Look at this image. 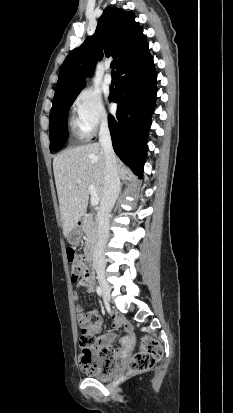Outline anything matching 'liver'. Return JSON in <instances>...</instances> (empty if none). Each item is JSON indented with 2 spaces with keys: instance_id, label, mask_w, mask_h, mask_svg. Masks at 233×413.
I'll return each mask as SVG.
<instances>
[{
  "instance_id": "6515ba94",
  "label": "liver",
  "mask_w": 233,
  "mask_h": 413,
  "mask_svg": "<svg viewBox=\"0 0 233 413\" xmlns=\"http://www.w3.org/2000/svg\"><path fill=\"white\" fill-rule=\"evenodd\" d=\"M119 176L125 179L127 168L116 158ZM63 235L70 231L85 214L89 200V185L99 198L104 189L105 155L100 143L68 148L53 159Z\"/></svg>"
}]
</instances>
